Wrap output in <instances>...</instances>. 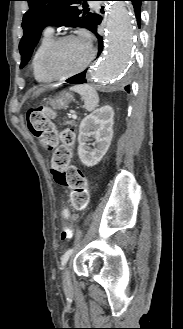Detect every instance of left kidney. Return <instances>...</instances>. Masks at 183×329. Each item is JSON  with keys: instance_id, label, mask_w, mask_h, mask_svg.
Returning <instances> with one entry per match:
<instances>
[{"instance_id": "left-kidney-1", "label": "left kidney", "mask_w": 183, "mask_h": 329, "mask_svg": "<svg viewBox=\"0 0 183 329\" xmlns=\"http://www.w3.org/2000/svg\"><path fill=\"white\" fill-rule=\"evenodd\" d=\"M114 111L112 107L106 105L94 110L87 115L80 123L78 135V156L81 162L91 167L97 164L106 154L112 137L114 124ZM93 138L97 147L92 149L87 142Z\"/></svg>"}]
</instances>
